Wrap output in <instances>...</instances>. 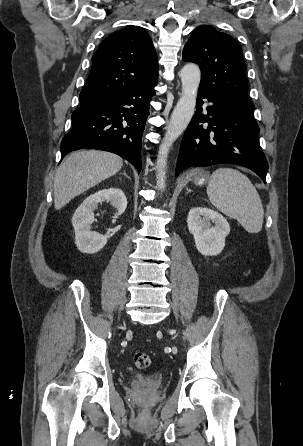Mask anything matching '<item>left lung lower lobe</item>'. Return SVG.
<instances>
[{
    "label": "left lung lower lobe",
    "instance_id": "left-lung-lower-lobe-1",
    "mask_svg": "<svg viewBox=\"0 0 303 446\" xmlns=\"http://www.w3.org/2000/svg\"><path fill=\"white\" fill-rule=\"evenodd\" d=\"M204 100L206 108L202 107ZM259 131L251 111L222 92L199 87L196 112L184 133L175 175L190 166L237 164L266 183L268 163L259 145Z\"/></svg>",
    "mask_w": 303,
    "mask_h": 446
}]
</instances>
